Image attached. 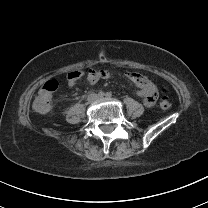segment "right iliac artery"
Wrapping results in <instances>:
<instances>
[{"label": "right iliac artery", "mask_w": 208, "mask_h": 208, "mask_svg": "<svg viewBox=\"0 0 208 208\" xmlns=\"http://www.w3.org/2000/svg\"><path fill=\"white\" fill-rule=\"evenodd\" d=\"M105 95V93L103 92V91H100L99 93H98V96L99 97H103Z\"/></svg>", "instance_id": "1"}]
</instances>
